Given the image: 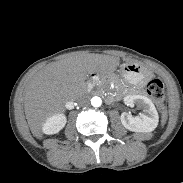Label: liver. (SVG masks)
I'll list each match as a JSON object with an SVG mask.
<instances>
[{
	"mask_svg": "<svg viewBox=\"0 0 183 183\" xmlns=\"http://www.w3.org/2000/svg\"><path fill=\"white\" fill-rule=\"evenodd\" d=\"M119 62L120 59L114 56L79 53L39 70L24 89V110L32 134L43 138L44 121L64 111L65 103L74 100L85 88L86 77L112 73Z\"/></svg>",
	"mask_w": 183,
	"mask_h": 183,
	"instance_id": "obj_1",
	"label": "liver"
}]
</instances>
